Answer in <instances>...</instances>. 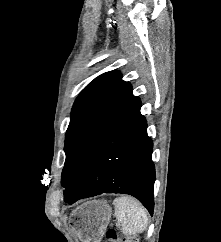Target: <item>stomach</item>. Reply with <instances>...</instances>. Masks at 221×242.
Segmentation results:
<instances>
[{"label": "stomach", "instance_id": "obj_1", "mask_svg": "<svg viewBox=\"0 0 221 242\" xmlns=\"http://www.w3.org/2000/svg\"><path fill=\"white\" fill-rule=\"evenodd\" d=\"M112 215L104 200H92L74 210L72 228L81 242H100Z\"/></svg>", "mask_w": 221, "mask_h": 242}]
</instances>
